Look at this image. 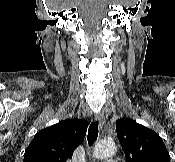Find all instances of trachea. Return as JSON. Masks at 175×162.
I'll list each match as a JSON object with an SVG mask.
<instances>
[{
    "label": "trachea",
    "instance_id": "3493384b",
    "mask_svg": "<svg viewBox=\"0 0 175 162\" xmlns=\"http://www.w3.org/2000/svg\"><path fill=\"white\" fill-rule=\"evenodd\" d=\"M98 132H99L98 121L91 123L88 129V136H87L89 146H91L96 141L98 137Z\"/></svg>",
    "mask_w": 175,
    "mask_h": 162
}]
</instances>
